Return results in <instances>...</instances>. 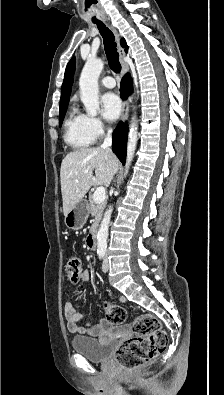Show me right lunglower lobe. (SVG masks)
Instances as JSON below:
<instances>
[{"instance_id": "98d812e1", "label": "right lung lower lobe", "mask_w": 224, "mask_h": 395, "mask_svg": "<svg viewBox=\"0 0 224 395\" xmlns=\"http://www.w3.org/2000/svg\"><path fill=\"white\" fill-rule=\"evenodd\" d=\"M120 92L122 99H126L131 94L132 80L129 74L124 76V78L122 79ZM127 133V125L120 123L114 130L112 136V150L123 164L125 163L126 158Z\"/></svg>"}]
</instances>
